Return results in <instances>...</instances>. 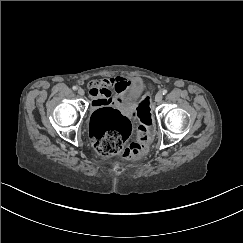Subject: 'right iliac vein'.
I'll list each match as a JSON object with an SVG mask.
<instances>
[{"label":"right iliac vein","instance_id":"63e3f726","mask_svg":"<svg viewBox=\"0 0 243 243\" xmlns=\"http://www.w3.org/2000/svg\"><path fill=\"white\" fill-rule=\"evenodd\" d=\"M78 94L80 95V96H84V94H85V92H84V90L83 89H78Z\"/></svg>","mask_w":243,"mask_h":243}]
</instances>
